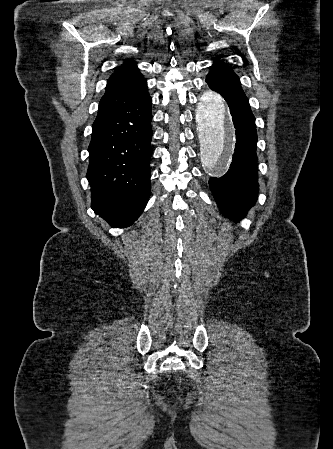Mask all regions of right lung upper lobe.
<instances>
[{
    "instance_id": "cb5924a9",
    "label": "right lung upper lobe",
    "mask_w": 333,
    "mask_h": 449,
    "mask_svg": "<svg viewBox=\"0 0 333 449\" xmlns=\"http://www.w3.org/2000/svg\"><path fill=\"white\" fill-rule=\"evenodd\" d=\"M147 89V82L134 60H125L121 68H115L107 81L106 92L99 103L98 114L109 111L139 95Z\"/></svg>"
}]
</instances>
